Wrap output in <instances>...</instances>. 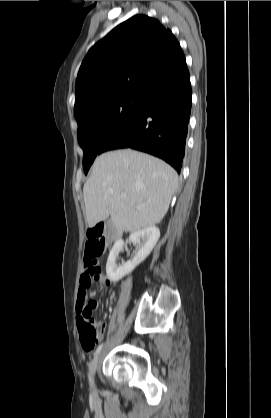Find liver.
I'll list each match as a JSON object with an SVG mask.
<instances>
[{"instance_id":"6515ba94","label":"liver","mask_w":271,"mask_h":418,"mask_svg":"<svg viewBox=\"0 0 271 418\" xmlns=\"http://www.w3.org/2000/svg\"><path fill=\"white\" fill-rule=\"evenodd\" d=\"M177 187L176 171L156 157L131 149L103 153L83 187L87 225L110 216L118 231L154 226L167 213Z\"/></svg>"}]
</instances>
